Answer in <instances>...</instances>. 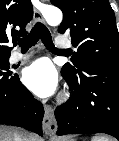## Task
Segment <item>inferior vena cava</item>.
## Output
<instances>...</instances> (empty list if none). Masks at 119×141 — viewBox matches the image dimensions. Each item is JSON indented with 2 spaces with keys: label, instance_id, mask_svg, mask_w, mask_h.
Segmentation results:
<instances>
[{
  "label": "inferior vena cava",
  "instance_id": "1",
  "mask_svg": "<svg viewBox=\"0 0 119 141\" xmlns=\"http://www.w3.org/2000/svg\"><path fill=\"white\" fill-rule=\"evenodd\" d=\"M14 141H26V139H24L23 135L16 133L14 137Z\"/></svg>",
  "mask_w": 119,
  "mask_h": 141
}]
</instances>
